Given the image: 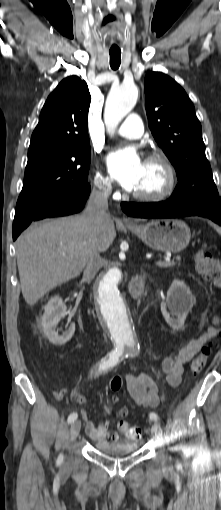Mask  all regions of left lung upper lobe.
<instances>
[{
    "mask_svg": "<svg viewBox=\"0 0 221 510\" xmlns=\"http://www.w3.org/2000/svg\"><path fill=\"white\" fill-rule=\"evenodd\" d=\"M145 104L150 130L173 164L179 181L168 201L220 206L201 125L184 89L169 76L150 72L145 77Z\"/></svg>",
    "mask_w": 221,
    "mask_h": 510,
    "instance_id": "1",
    "label": "left lung upper lobe"
}]
</instances>
